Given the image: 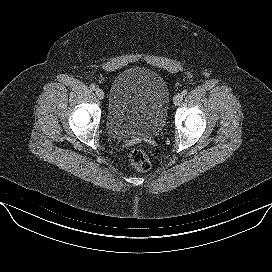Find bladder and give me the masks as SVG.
<instances>
[{"mask_svg": "<svg viewBox=\"0 0 272 272\" xmlns=\"http://www.w3.org/2000/svg\"><path fill=\"white\" fill-rule=\"evenodd\" d=\"M170 93L156 71L133 66L112 81L106 112V129L114 139L152 137L166 122Z\"/></svg>", "mask_w": 272, "mask_h": 272, "instance_id": "1", "label": "bladder"}]
</instances>
